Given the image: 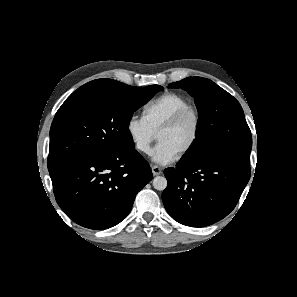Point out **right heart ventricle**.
<instances>
[{
	"label": "right heart ventricle",
	"instance_id": "obj_1",
	"mask_svg": "<svg viewBox=\"0 0 297 297\" xmlns=\"http://www.w3.org/2000/svg\"><path fill=\"white\" fill-rule=\"evenodd\" d=\"M188 105L191 104L185 96L176 92H165L143 107V117L151 129L157 133L167 120Z\"/></svg>",
	"mask_w": 297,
	"mask_h": 297
}]
</instances>
